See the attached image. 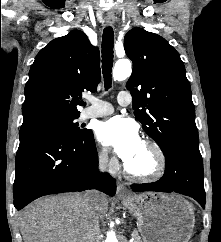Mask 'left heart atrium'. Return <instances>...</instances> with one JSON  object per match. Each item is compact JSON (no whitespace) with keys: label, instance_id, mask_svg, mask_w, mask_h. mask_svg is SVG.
Here are the masks:
<instances>
[{"label":"left heart atrium","instance_id":"obj_1","mask_svg":"<svg viewBox=\"0 0 221 242\" xmlns=\"http://www.w3.org/2000/svg\"><path fill=\"white\" fill-rule=\"evenodd\" d=\"M97 138L112 148L127 163L142 145L138 128L134 122L121 117H113L99 124Z\"/></svg>","mask_w":221,"mask_h":242}]
</instances>
